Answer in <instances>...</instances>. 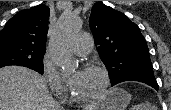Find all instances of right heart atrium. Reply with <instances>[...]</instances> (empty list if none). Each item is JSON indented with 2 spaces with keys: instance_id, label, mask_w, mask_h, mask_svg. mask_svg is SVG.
<instances>
[{
  "instance_id": "right-heart-atrium-1",
  "label": "right heart atrium",
  "mask_w": 171,
  "mask_h": 110,
  "mask_svg": "<svg viewBox=\"0 0 171 110\" xmlns=\"http://www.w3.org/2000/svg\"><path fill=\"white\" fill-rule=\"evenodd\" d=\"M42 74L51 92L56 97H63L66 91L64 82L48 56L43 58Z\"/></svg>"
}]
</instances>
